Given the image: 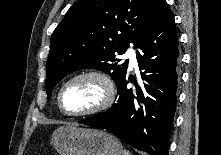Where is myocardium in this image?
Instances as JSON below:
<instances>
[{
    "mask_svg": "<svg viewBox=\"0 0 221 155\" xmlns=\"http://www.w3.org/2000/svg\"><path fill=\"white\" fill-rule=\"evenodd\" d=\"M82 79H94L98 81L102 86L103 95L100 102L94 107L81 112H71L67 110L63 105L62 101L63 92L70 84ZM115 96H116L115 85L113 80L108 74L99 70H85L74 74L62 84L57 95V103L59 109L67 116L86 117V116L96 115L107 110L113 104Z\"/></svg>",
    "mask_w": 221,
    "mask_h": 155,
    "instance_id": "myocardium-1",
    "label": "myocardium"
}]
</instances>
